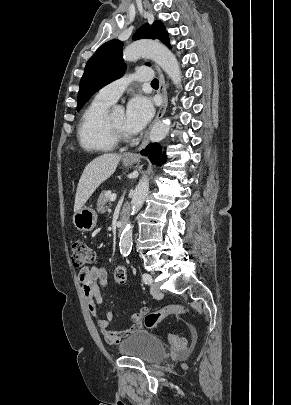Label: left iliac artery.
Here are the masks:
<instances>
[{
	"label": "left iliac artery",
	"instance_id": "1",
	"mask_svg": "<svg viewBox=\"0 0 291 405\" xmlns=\"http://www.w3.org/2000/svg\"><path fill=\"white\" fill-rule=\"evenodd\" d=\"M142 280H143V282H144L145 284H148V285H150V284L152 283V277H151V275L148 274V273H144V274L142 275Z\"/></svg>",
	"mask_w": 291,
	"mask_h": 405
}]
</instances>
